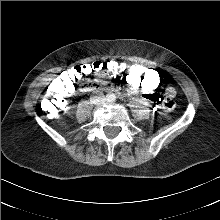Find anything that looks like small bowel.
I'll return each mask as SVG.
<instances>
[{
    "instance_id": "1",
    "label": "small bowel",
    "mask_w": 220,
    "mask_h": 220,
    "mask_svg": "<svg viewBox=\"0 0 220 220\" xmlns=\"http://www.w3.org/2000/svg\"><path fill=\"white\" fill-rule=\"evenodd\" d=\"M106 67H107V70H108V74H110V75L116 77V75L122 74V73L124 72V69H125L127 66L124 65V64L118 63V62H116V61H109L108 63H106ZM147 68H149V67H147ZM162 89H164L163 84H162V87H161L159 90H156L155 92H158V91H160V90H162ZM166 89H172V88L167 87V88H165V90H166ZM172 90H173V89H172ZM130 91H131L132 93H135V92H137L138 90H135L134 88H131V87H130ZM155 92H152V93H155ZM149 94H151V93L143 92V96H144V98H145L146 100H148V99H147V96H148Z\"/></svg>"
}]
</instances>
